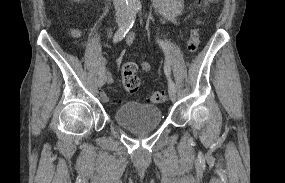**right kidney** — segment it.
Returning <instances> with one entry per match:
<instances>
[{
  "instance_id": "ca27d5eb",
  "label": "right kidney",
  "mask_w": 285,
  "mask_h": 183,
  "mask_svg": "<svg viewBox=\"0 0 285 183\" xmlns=\"http://www.w3.org/2000/svg\"><path fill=\"white\" fill-rule=\"evenodd\" d=\"M72 1H74V2H81V1H83V0H72Z\"/></svg>"
}]
</instances>
